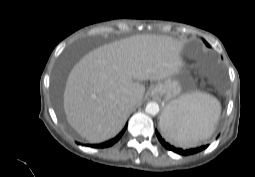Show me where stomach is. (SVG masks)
<instances>
[{
	"instance_id": "0dacf381",
	"label": "stomach",
	"mask_w": 255,
	"mask_h": 177,
	"mask_svg": "<svg viewBox=\"0 0 255 177\" xmlns=\"http://www.w3.org/2000/svg\"><path fill=\"white\" fill-rule=\"evenodd\" d=\"M182 91L181 84L173 77H168L163 81H158L151 87L150 95L152 97H165L167 100H174L180 96ZM171 101V102H172ZM169 104L165 107L163 114L160 119V126L166 118V114L169 112Z\"/></svg>"
}]
</instances>
